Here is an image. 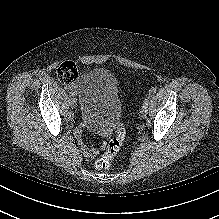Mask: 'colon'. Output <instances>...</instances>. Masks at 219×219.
<instances>
[{"instance_id": "5ec220e1", "label": "colon", "mask_w": 219, "mask_h": 219, "mask_svg": "<svg viewBox=\"0 0 219 219\" xmlns=\"http://www.w3.org/2000/svg\"><path fill=\"white\" fill-rule=\"evenodd\" d=\"M57 78L64 84H72L78 77V70L73 62L66 61L57 68ZM126 138V127L119 123L116 127L115 136L109 141L104 154L95 162V167L99 170L107 169L113 158L121 149Z\"/></svg>"}]
</instances>
